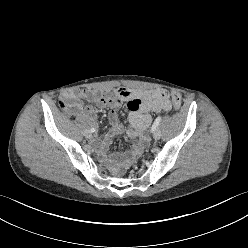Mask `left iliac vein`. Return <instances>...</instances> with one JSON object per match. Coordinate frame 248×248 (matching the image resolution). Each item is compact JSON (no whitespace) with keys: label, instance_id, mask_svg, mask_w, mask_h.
Segmentation results:
<instances>
[{"label":"left iliac vein","instance_id":"left-iliac-vein-1","mask_svg":"<svg viewBox=\"0 0 248 248\" xmlns=\"http://www.w3.org/2000/svg\"><path fill=\"white\" fill-rule=\"evenodd\" d=\"M153 137L155 140H159L161 137V131L159 128H156V130L153 131Z\"/></svg>","mask_w":248,"mask_h":248}]
</instances>
